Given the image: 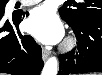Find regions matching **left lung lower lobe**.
<instances>
[{
	"instance_id": "0a47b994",
	"label": "left lung lower lobe",
	"mask_w": 102,
	"mask_h": 75,
	"mask_svg": "<svg viewBox=\"0 0 102 75\" xmlns=\"http://www.w3.org/2000/svg\"><path fill=\"white\" fill-rule=\"evenodd\" d=\"M67 23L77 36V48L60 55L58 75L102 72V18L78 19Z\"/></svg>"
}]
</instances>
